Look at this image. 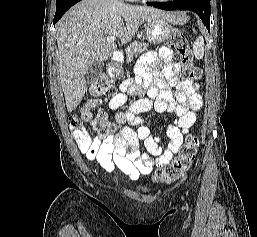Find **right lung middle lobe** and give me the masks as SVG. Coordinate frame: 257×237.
<instances>
[{"label":"right lung middle lobe","instance_id":"1","mask_svg":"<svg viewBox=\"0 0 257 237\" xmlns=\"http://www.w3.org/2000/svg\"><path fill=\"white\" fill-rule=\"evenodd\" d=\"M64 1H66V0H56V5H58V4H60V3L64 2Z\"/></svg>","mask_w":257,"mask_h":237}]
</instances>
